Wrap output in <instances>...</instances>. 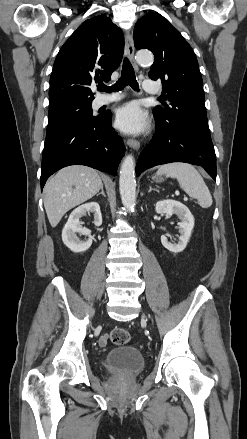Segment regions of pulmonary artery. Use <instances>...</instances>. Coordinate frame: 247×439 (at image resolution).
I'll use <instances>...</instances> for the list:
<instances>
[{"mask_svg":"<svg viewBox=\"0 0 247 439\" xmlns=\"http://www.w3.org/2000/svg\"><path fill=\"white\" fill-rule=\"evenodd\" d=\"M143 88H144L145 92H147L149 94H156L159 91L158 84L155 81L150 80V79L144 80ZM119 99H120L119 95L106 96V97L101 98L98 101V104L99 105H106V104L115 102V101H117Z\"/></svg>","mask_w":247,"mask_h":439,"instance_id":"1","label":"pulmonary artery"}]
</instances>
